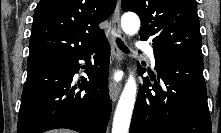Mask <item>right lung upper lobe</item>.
<instances>
[{
    "mask_svg": "<svg viewBox=\"0 0 221 133\" xmlns=\"http://www.w3.org/2000/svg\"><path fill=\"white\" fill-rule=\"evenodd\" d=\"M115 0H41L33 17L28 64L83 53L104 38L99 24Z\"/></svg>",
    "mask_w": 221,
    "mask_h": 133,
    "instance_id": "cb5924a9",
    "label": "right lung upper lobe"
}]
</instances>
